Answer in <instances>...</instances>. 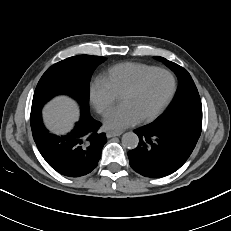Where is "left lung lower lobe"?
I'll use <instances>...</instances> for the list:
<instances>
[{
    "label": "left lung lower lobe",
    "instance_id": "0a47b994",
    "mask_svg": "<svg viewBox=\"0 0 231 231\" xmlns=\"http://www.w3.org/2000/svg\"><path fill=\"white\" fill-rule=\"evenodd\" d=\"M201 128L199 122L176 121L152 123L135 130L139 144L128 152L130 166L137 173L151 178L172 174L189 158Z\"/></svg>",
    "mask_w": 231,
    "mask_h": 231
}]
</instances>
